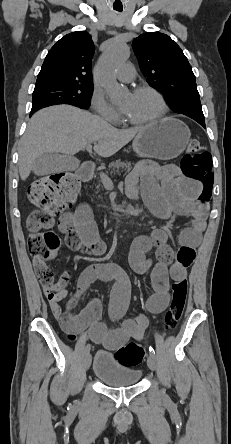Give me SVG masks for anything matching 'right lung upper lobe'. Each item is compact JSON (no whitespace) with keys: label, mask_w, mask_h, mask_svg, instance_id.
Segmentation results:
<instances>
[{"label":"right lung upper lobe","mask_w":231,"mask_h":444,"mask_svg":"<svg viewBox=\"0 0 231 444\" xmlns=\"http://www.w3.org/2000/svg\"><path fill=\"white\" fill-rule=\"evenodd\" d=\"M94 49L92 38L86 31L65 35L48 52L35 86L59 83L93 85L91 59Z\"/></svg>","instance_id":"right-lung-upper-lobe-1"}]
</instances>
